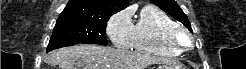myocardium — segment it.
Instances as JSON below:
<instances>
[{"instance_id": "1", "label": "myocardium", "mask_w": 246, "mask_h": 69, "mask_svg": "<svg viewBox=\"0 0 246 69\" xmlns=\"http://www.w3.org/2000/svg\"><path fill=\"white\" fill-rule=\"evenodd\" d=\"M167 35L172 44L177 45L182 49H187L192 46L191 34L180 25H175L170 28ZM181 37H184V40Z\"/></svg>"}]
</instances>
